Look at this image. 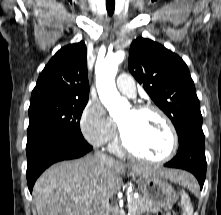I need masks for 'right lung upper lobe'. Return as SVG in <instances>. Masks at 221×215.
I'll list each match as a JSON object with an SVG mask.
<instances>
[{
  "label": "right lung upper lobe",
  "mask_w": 221,
  "mask_h": 215,
  "mask_svg": "<svg viewBox=\"0 0 221 215\" xmlns=\"http://www.w3.org/2000/svg\"><path fill=\"white\" fill-rule=\"evenodd\" d=\"M87 50L83 41L61 48L45 66L30 105L58 100H88Z\"/></svg>",
  "instance_id": "right-lung-upper-lobe-1"
}]
</instances>
